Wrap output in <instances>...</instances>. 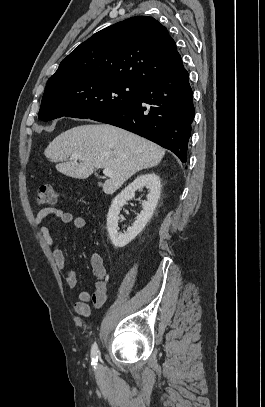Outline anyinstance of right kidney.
I'll return each instance as SVG.
<instances>
[{
  "label": "right kidney",
  "mask_w": 265,
  "mask_h": 407,
  "mask_svg": "<svg viewBox=\"0 0 265 407\" xmlns=\"http://www.w3.org/2000/svg\"><path fill=\"white\" fill-rule=\"evenodd\" d=\"M146 187L149 189L147 201L142 202V211L137 216L134 224L125 233L118 232L119 213L126 201L134 198L135 191ZM161 192V181L155 173L138 176L120 194H118L109 209L107 215V230L112 244L122 248L130 243L146 226L156 208Z\"/></svg>",
  "instance_id": "1"
}]
</instances>
